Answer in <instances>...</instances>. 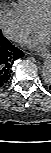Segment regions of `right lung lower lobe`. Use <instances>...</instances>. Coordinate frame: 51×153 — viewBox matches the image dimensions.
I'll list each match as a JSON object with an SVG mask.
<instances>
[{
	"mask_svg": "<svg viewBox=\"0 0 51 153\" xmlns=\"http://www.w3.org/2000/svg\"><path fill=\"white\" fill-rule=\"evenodd\" d=\"M21 57H23V52L15 48L0 31V87L8 82L13 62Z\"/></svg>",
	"mask_w": 51,
	"mask_h": 153,
	"instance_id": "1",
	"label": "right lung lower lobe"
}]
</instances>
